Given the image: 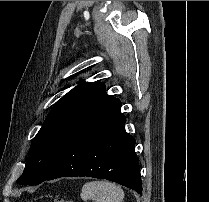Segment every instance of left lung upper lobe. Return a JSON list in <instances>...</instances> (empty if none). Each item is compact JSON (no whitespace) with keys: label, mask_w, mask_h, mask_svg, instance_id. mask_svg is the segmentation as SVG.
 <instances>
[{"label":"left lung upper lobe","mask_w":209,"mask_h":202,"mask_svg":"<svg viewBox=\"0 0 209 202\" xmlns=\"http://www.w3.org/2000/svg\"><path fill=\"white\" fill-rule=\"evenodd\" d=\"M114 99L105 93L104 84L96 82H82L64 95L34 137L25 169L17 182L38 185L45 181L79 127Z\"/></svg>","instance_id":"5c2ea615"}]
</instances>
